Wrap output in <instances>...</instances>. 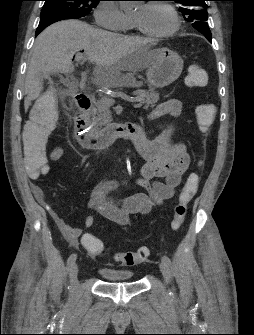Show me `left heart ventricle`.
Returning <instances> with one entry per match:
<instances>
[{"label":"left heart ventricle","mask_w":254,"mask_h":335,"mask_svg":"<svg viewBox=\"0 0 254 335\" xmlns=\"http://www.w3.org/2000/svg\"><path fill=\"white\" fill-rule=\"evenodd\" d=\"M133 18L144 30L152 33L165 32L174 23L173 16L168 9L153 4L140 5L134 12Z\"/></svg>","instance_id":"obj_1"}]
</instances>
